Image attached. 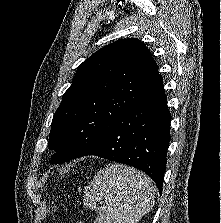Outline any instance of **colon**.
<instances>
[{
	"label": "colon",
	"mask_w": 221,
	"mask_h": 223,
	"mask_svg": "<svg viewBox=\"0 0 221 223\" xmlns=\"http://www.w3.org/2000/svg\"><path fill=\"white\" fill-rule=\"evenodd\" d=\"M78 223H84L82 220H80Z\"/></svg>",
	"instance_id": "obj_1"
}]
</instances>
